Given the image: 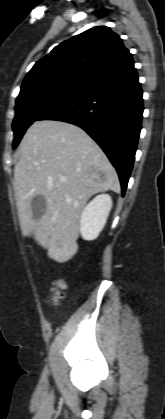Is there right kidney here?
<instances>
[{
	"mask_svg": "<svg viewBox=\"0 0 165 419\" xmlns=\"http://www.w3.org/2000/svg\"><path fill=\"white\" fill-rule=\"evenodd\" d=\"M112 199L108 194L96 196L85 206L80 220V233L85 240H94L104 228Z\"/></svg>",
	"mask_w": 165,
	"mask_h": 419,
	"instance_id": "obj_1",
	"label": "right kidney"
}]
</instances>
